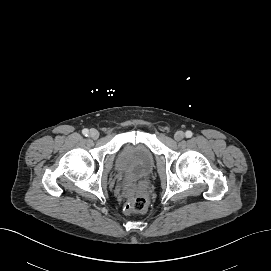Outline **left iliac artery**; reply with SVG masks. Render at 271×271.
<instances>
[{"label": "left iliac artery", "instance_id": "left-iliac-artery-1", "mask_svg": "<svg viewBox=\"0 0 271 271\" xmlns=\"http://www.w3.org/2000/svg\"><path fill=\"white\" fill-rule=\"evenodd\" d=\"M192 135H193V133L191 132V131H186V133H185V136L187 137V138H190V137H192Z\"/></svg>", "mask_w": 271, "mask_h": 271}]
</instances>
